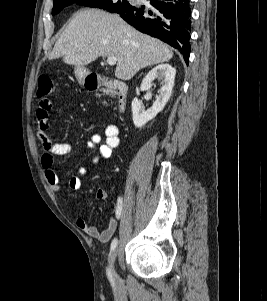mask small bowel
<instances>
[{"label":"small bowel","mask_w":267,"mask_h":301,"mask_svg":"<svg viewBox=\"0 0 267 301\" xmlns=\"http://www.w3.org/2000/svg\"><path fill=\"white\" fill-rule=\"evenodd\" d=\"M52 108V102L49 98H41L36 112L37 119V137L43 144L44 153L41 156V166L45 178L53 191L60 189L61 180L53 169L54 158L64 156L71 151V145L68 143H53L48 135L49 112ZM119 129L115 124L105 126L103 136L99 133L93 134L87 141V147L94 149L98 147V153L92 158V164L96 165L101 159H107L112 155L113 150L119 145ZM87 174L86 167H79L68 180V186L72 191H78L82 185V178ZM108 193L105 189H98L96 198L106 200ZM117 207L113 210V216L108 220L105 228L100 229L89 224L85 219L76 220L77 227L91 238H96L102 243H107L114 235L118 226Z\"/></svg>","instance_id":"small-bowel-1"}]
</instances>
